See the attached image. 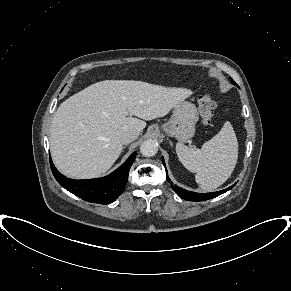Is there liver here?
<instances>
[{"label": "liver", "mask_w": 291, "mask_h": 291, "mask_svg": "<svg viewBox=\"0 0 291 291\" xmlns=\"http://www.w3.org/2000/svg\"><path fill=\"white\" fill-rule=\"evenodd\" d=\"M191 94L185 88L134 80L88 86L61 103L52 118L50 152L55 166L75 179L104 174L122 151L124 132L140 133L144 120L167 115Z\"/></svg>", "instance_id": "6515ba94"}]
</instances>
